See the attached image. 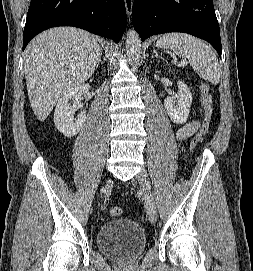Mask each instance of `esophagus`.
<instances>
[{
    "instance_id": "34e87169",
    "label": "esophagus",
    "mask_w": 253,
    "mask_h": 271,
    "mask_svg": "<svg viewBox=\"0 0 253 271\" xmlns=\"http://www.w3.org/2000/svg\"><path fill=\"white\" fill-rule=\"evenodd\" d=\"M127 16L130 18L132 14L133 0H124Z\"/></svg>"
}]
</instances>
